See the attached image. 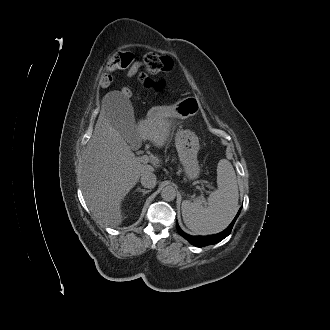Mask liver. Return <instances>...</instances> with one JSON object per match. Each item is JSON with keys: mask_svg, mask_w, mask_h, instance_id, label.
Masks as SVG:
<instances>
[{"mask_svg": "<svg viewBox=\"0 0 330 330\" xmlns=\"http://www.w3.org/2000/svg\"><path fill=\"white\" fill-rule=\"evenodd\" d=\"M115 108L103 105L87 144L81 173V189L89 210L96 219L109 226L122 223L124 197L143 173L154 171L160 162L154 156L151 157L152 165L140 162L125 137L113 126ZM172 125V121L151 110L136 126V135L162 147L174 129Z\"/></svg>", "mask_w": 330, "mask_h": 330, "instance_id": "1", "label": "liver"}]
</instances>
